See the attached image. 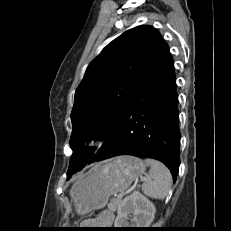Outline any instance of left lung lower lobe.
<instances>
[{"mask_svg":"<svg viewBox=\"0 0 231 231\" xmlns=\"http://www.w3.org/2000/svg\"><path fill=\"white\" fill-rule=\"evenodd\" d=\"M179 139L174 64L165 44L115 120L103 146L88 163L119 155L153 158L169 168L175 182L179 169Z\"/></svg>","mask_w":231,"mask_h":231,"instance_id":"left-lung-lower-lobe-1","label":"left lung lower lobe"}]
</instances>
